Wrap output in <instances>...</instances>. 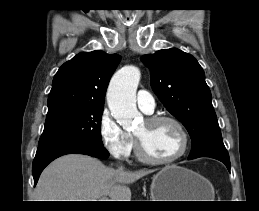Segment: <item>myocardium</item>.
Returning <instances> with one entry per match:
<instances>
[{
    "instance_id": "obj_1",
    "label": "myocardium",
    "mask_w": 259,
    "mask_h": 211,
    "mask_svg": "<svg viewBox=\"0 0 259 211\" xmlns=\"http://www.w3.org/2000/svg\"><path fill=\"white\" fill-rule=\"evenodd\" d=\"M145 120L149 124H159L161 122H169L173 124L177 128L180 134L181 147L179 151L171 157L154 158L146 152L142 141L137 135H135L136 151L140 160L149 164L163 165V164H169L177 161L186 153L189 146V136L184 125L179 119L171 115H153V116L147 117Z\"/></svg>"
}]
</instances>
